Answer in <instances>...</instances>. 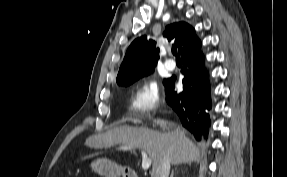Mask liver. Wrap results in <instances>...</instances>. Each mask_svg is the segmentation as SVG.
I'll list each match as a JSON object with an SVG mask.
<instances>
[{"mask_svg": "<svg viewBox=\"0 0 287 177\" xmlns=\"http://www.w3.org/2000/svg\"><path fill=\"white\" fill-rule=\"evenodd\" d=\"M154 122L166 124V121L160 119ZM117 144L146 151L153 162L151 177H154L159 164L167 154L174 165L191 163L199 157V150L179 127L159 132L144 127L123 125L103 134L90 136L85 141L86 146L97 149H106Z\"/></svg>", "mask_w": 287, "mask_h": 177, "instance_id": "6515ba94", "label": "liver"}]
</instances>
